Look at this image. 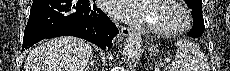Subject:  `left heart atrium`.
<instances>
[{
	"label": "left heart atrium",
	"mask_w": 230,
	"mask_h": 71,
	"mask_svg": "<svg viewBox=\"0 0 230 71\" xmlns=\"http://www.w3.org/2000/svg\"><path fill=\"white\" fill-rule=\"evenodd\" d=\"M104 9L111 15L134 24L150 23V0H103Z\"/></svg>",
	"instance_id": "1"
}]
</instances>
